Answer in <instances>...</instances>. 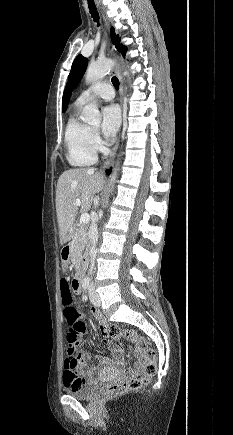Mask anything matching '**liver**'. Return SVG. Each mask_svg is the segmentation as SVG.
<instances>
[{
    "mask_svg": "<svg viewBox=\"0 0 233 435\" xmlns=\"http://www.w3.org/2000/svg\"><path fill=\"white\" fill-rule=\"evenodd\" d=\"M103 184V176L93 168H76L64 171L56 187V212L59 226L60 244L64 245L74 237L75 220L81 201V211L91 208L94 194Z\"/></svg>",
    "mask_w": 233,
    "mask_h": 435,
    "instance_id": "6515ba94",
    "label": "liver"
}]
</instances>
